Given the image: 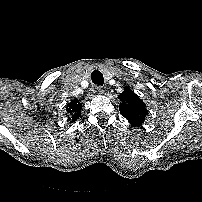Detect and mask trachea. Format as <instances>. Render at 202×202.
<instances>
[{"instance_id":"3493384b","label":"trachea","mask_w":202,"mask_h":202,"mask_svg":"<svg viewBox=\"0 0 202 202\" xmlns=\"http://www.w3.org/2000/svg\"><path fill=\"white\" fill-rule=\"evenodd\" d=\"M91 79L94 84H98L100 86H103L104 84L103 74L98 70H94L92 72Z\"/></svg>"}]
</instances>
